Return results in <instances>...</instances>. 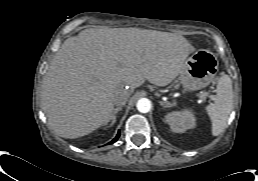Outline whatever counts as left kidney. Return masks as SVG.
Returning a JSON list of instances; mask_svg holds the SVG:
<instances>
[{
    "label": "left kidney",
    "mask_w": 258,
    "mask_h": 181,
    "mask_svg": "<svg viewBox=\"0 0 258 181\" xmlns=\"http://www.w3.org/2000/svg\"><path fill=\"white\" fill-rule=\"evenodd\" d=\"M165 122L170 126L172 132L184 133L196 125V119L189 110L173 111L165 116Z\"/></svg>",
    "instance_id": "obj_1"
}]
</instances>
